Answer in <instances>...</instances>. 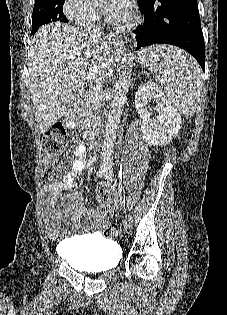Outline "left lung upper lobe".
Here are the masks:
<instances>
[{
  "label": "left lung upper lobe",
  "instance_id": "obj_1",
  "mask_svg": "<svg viewBox=\"0 0 227 315\" xmlns=\"http://www.w3.org/2000/svg\"><path fill=\"white\" fill-rule=\"evenodd\" d=\"M146 1H149V0H138V3L141 4V3H144Z\"/></svg>",
  "mask_w": 227,
  "mask_h": 315
}]
</instances>
